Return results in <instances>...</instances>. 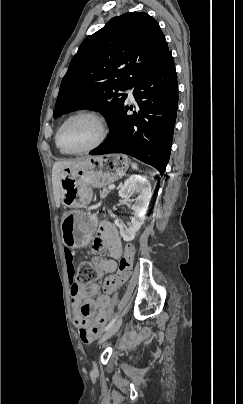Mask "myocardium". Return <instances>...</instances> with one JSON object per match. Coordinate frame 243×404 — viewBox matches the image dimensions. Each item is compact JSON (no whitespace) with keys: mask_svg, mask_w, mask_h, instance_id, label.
Returning <instances> with one entry per match:
<instances>
[{"mask_svg":"<svg viewBox=\"0 0 243 404\" xmlns=\"http://www.w3.org/2000/svg\"><path fill=\"white\" fill-rule=\"evenodd\" d=\"M82 115H88V116H92L95 119L98 120L100 127H101V134L99 139L97 140L96 143H94L93 145L84 148V149H73V148H65L63 147L61 140H60V136H61V131L63 129V127L65 126V124L71 120L74 117L77 116H82ZM108 135V127H107V123L104 119V117L102 115H100L98 112L94 111V110H90V109H84V110H79L76 111L70 115H68L59 125L58 129H57V133H56V137H57V141L58 144L60 145V147L65 148L68 152L70 153H75V154H80V153H89L92 152L96 149H98L99 147H101L103 145V143L105 142L106 138Z\"/></svg>","mask_w":243,"mask_h":404,"instance_id":"f54148a6","label":"myocardium"}]
</instances>
